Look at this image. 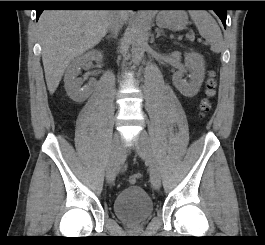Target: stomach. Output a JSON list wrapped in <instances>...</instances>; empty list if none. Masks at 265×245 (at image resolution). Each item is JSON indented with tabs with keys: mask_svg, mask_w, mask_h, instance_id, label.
Returning a JSON list of instances; mask_svg holds the SVG:
<instances>
[{
	"mask_svg": "<svg viewBox=\"0 0 265 245\" xmlns=\"http://www.w3.org/2000/svg\"><path fill=\"white\" fill-rule=\"evenodd\" d=\"M156 23L161 28L179 31L186 27L188 16L181 10L160 11L156 14Z\"/></svg>",
	"mask_w": 265,
	"mask_h": 245,
	"instance_id": "stomach-1",
	"label": "stomach"
}]
</instances>
